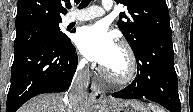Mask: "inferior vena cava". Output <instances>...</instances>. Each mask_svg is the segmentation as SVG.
<instances>
[{
	"label": "inferior vena cava",
	"mask_w": 193,
	"mask_h": 112,
	"mask_svg": "<svg viewBox=\"0 0 193 112\" xmlns=\"http://www.w3.org/2000/svg\"><path fill=\"white\" fill-rule=\"evenodd\" d=\"M89 68L86 62H81L74 75L69 93L66 97L74 112H82V106L88 96Z\"/></svg>",
	"instance_id": "obj_1"
}]
</instances>
